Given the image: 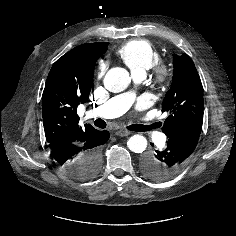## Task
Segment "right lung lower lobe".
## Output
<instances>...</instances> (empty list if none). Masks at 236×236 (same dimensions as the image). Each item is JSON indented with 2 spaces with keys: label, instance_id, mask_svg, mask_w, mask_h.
Masks as SVG:
<instances>
[{
  "label": "right lung lower lobe",
  "instance_id": "right-lung-lower-lobe-1",
  "mask_svg": "<svg viewBox=\"0 0 236 236\" xmlns=\"http://www.w3.org/2000/svg\"><path fill=\"white\" fill-rule=\"evenodd\" d=\"M110 137L108 131H98L83 144H66L51 149V156L70 176L80 178L83 176L84 164L87 155L96 154L101 161L100 148Z\"/></svg>",
  "mask_w": 236,
  "mask_h": 236
}]
</instances>
